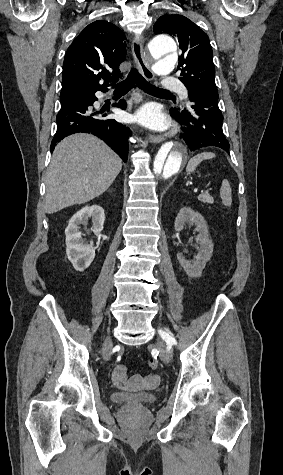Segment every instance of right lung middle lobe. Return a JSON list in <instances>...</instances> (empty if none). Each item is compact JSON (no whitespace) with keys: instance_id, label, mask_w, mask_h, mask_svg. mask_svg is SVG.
<instances>
[{"instance_id":"right-lung-middle-lobe-1","label":"right lung middle lobe","mask_w":283,"mask_h":475,"mask_svg":"<svg viewBox=\"0 0 283 475\" xmlns=\"http://www.w3.org/2000/svg\"><path fill=\"white\" fill-rule=\"evenodd\" d=\"M79 92H82V91H78V90H74V89H70V88L62 89L61 94H60V99L71 96V95L79 93Z\"/></svg>"}]
</instances>
